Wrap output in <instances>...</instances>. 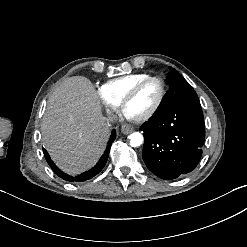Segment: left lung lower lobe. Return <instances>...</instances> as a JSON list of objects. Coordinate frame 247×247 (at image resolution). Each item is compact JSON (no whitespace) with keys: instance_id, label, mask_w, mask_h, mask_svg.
Instances as JSON below:
<instances>
[{"instance_id":"obj_1","label":"left lung lower lobe","mask_w":247,"mask_h":247,"mask_svg":"<svg viewBox=\"0 0 247 247\" xmlns=\"http://www.w3.org/2000/svg\"><path fill=\"white\" fill-rule=\"evenodd\" d=\"M140 130L143 160L156 176L172 180L191 172L199 163L205 140L200 104L183 103L154 114Z\"/></svg>"}]
</instances>
